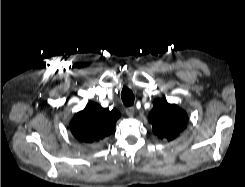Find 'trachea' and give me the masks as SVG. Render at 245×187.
<instances>
[{
	"label": "trachea",
	"instance_id": "3493384b",
	"mask_svg": "<svg viewBox=\"0 0 245 187\" xmlns=\"http://www.w3.org/2000/svg\"><path fill=\"white\" fill-rule=\"evenodd\" d=\"M121 98L125 106H132L134 104V94L129 88H124L122 90Z\"/></svg>",
	"mask_w": 245,
	"mask_h": 187
}]
</instances>
